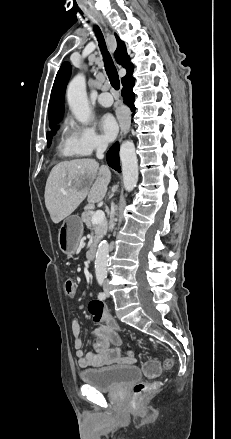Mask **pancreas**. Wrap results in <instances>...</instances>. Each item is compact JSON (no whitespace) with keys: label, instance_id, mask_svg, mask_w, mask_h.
Wrapping results in <instances>:
<instances>
[{"label":"pancreas","instance_id":"obj_1","mask_svg":"<svg viewBox=\"0 0 231 439\" xmlns=\"http://www.w3.org/2000/svg\"><path fill=\"white\" fill-rule=\"evenodd\" d=\"M94 214L95 212L91 208H86V210L81 215L82 221L85 223L87 228L90 230H94L95 232L92 247H95L97 245V243L104 237L108 229V221L106 219L97 225L92 224L91 219Z\"/></svg>","mask_w":231,"mask_h":439}]
</instances>
